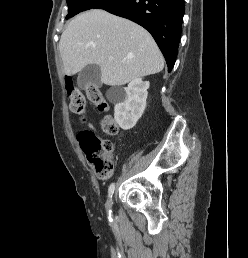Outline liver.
I'll list each match as a JSON object with an SVG mask.
<instances>
[{"label":"liver","mask_w":248,"mask_h":258,"mask_svg":"<svg viewBox=\"0 0 248 258\" xmlns=\"http://www.w3.org/2000/svg\"><path fill=\"white\" fill-rule=\"evenodd\" d=\"M59 51L68 76L97 64L101 82L110 86L125 85L164 67L162 53L144 28L100 9L83 12L69 23Z\"/></svg>","instance_id":"liver-1"}]
</instances>
